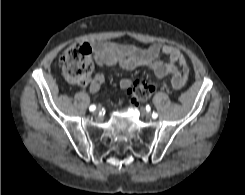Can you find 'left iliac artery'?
<instances>
[{
  "label": "left iliac artery",
  "instance_id": "44dca946",
  "mask_svg": "<svg viewBox=\"0 0 245 195\" xmlns=\"http://www.w3.org/2000/svg\"><path fill=\"white\" fill-rule=\"evenodd\" d=\"M152 117H153L154 119H156V118L158 117V114L155 113V112H153Z\"/></svg>",
  "mask_w": 245,
  "mask_h": 195
}]
</instances>
